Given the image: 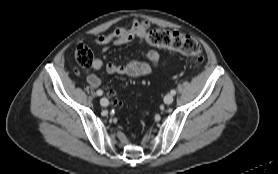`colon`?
Here are the masks:
<instances>
[{
  "instance_id": "colon-1",
  "label": "colon",
  "mask_w": 278,
  "mask_h": 174,
  "mask_svg": "<svg viewBox=\"0 0 278 174\" xmlns=\"http://www.w3.org/2000/svg\"><path fill=\"white\" fill-rule=\"evenodd\" d=\"M145 41L153 46L164 47L191 58L195 67L203 62V51L199 42L190 35L164 29L150 30ZM75 62L78 67L87 69L92 65L93 55L89 47L82 42L76 45L74 51ZM110 93L114 95V91Z\"/></svg>"
}]
</instances>
